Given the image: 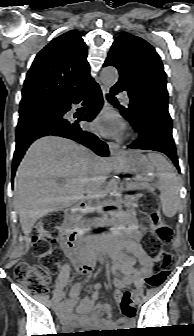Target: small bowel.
Masks as SVG:
<instances>
[{"instance_id":"1","label":"small bowel","mask_w":194,"mask_h":336,"mask_svg":"<svg viewBox=\"0 0 194 336\" xmlns=\"http://www.w3.org/2000/svg\"><path fill=\"white\" fill-rule=\"evenodd\" d=\"M127 227L125 239L119 241L112 250V283L117 288L115 299L122 300L120 289L129 286L132 283L141 284L142 279L152 274L154 260L144 251L141 246L143 236L141 227L135 220L134 211H128ZM128 251L130 255L126 254ZM135 259L141 265L140 269L135 267ZM75 263V262H74ZM81 274L87 275L91 272V267L85 264L75 263ZM100 285H96L90 297L83 299L78 305V296L80 285L76 284L71 289L70 298L62 306L61 318L67 325H89L97 326L102 323L106 326L113 325L111 319V306L108 303L95 304L99 298ZM74 309L76 312L74 313ZM105 314V318L101 315ZM124 326H131V318L122 320Z\"/></svg>"}]
</instances>
